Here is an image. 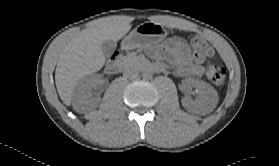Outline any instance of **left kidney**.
<instances>
[{
  "label": "left kidney",
  "mask_w": 279,
  "mask_h": 166,
  "mask_svg": "<svg viewBox=\"0 0 279 166\" xmlns=\"http://www.w3.org/2000/svg\"><path fill=\"white\" fill-rule=\"evenodd\" d=\"M184 85L194 87L197 92L195 100L189 96L182 98V106L187 110H203L217 101L218 95L216 90L208 83L197 79H185Z\"/></svg>",
  "instance_id": "obj_1"
}]
</instances>
